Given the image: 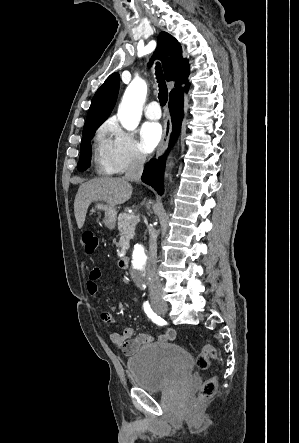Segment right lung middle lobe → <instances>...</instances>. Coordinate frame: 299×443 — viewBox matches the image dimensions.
<instances>
[{
  "instance_id": "obj_1",
  "label": "right lung middle lobe",
  "mask_w": 299,
  "mask_h": 443,
  "mask_svg": "<svg viewBox=\"0 0 299 443\" xmlns=\"http://www.w3.org/2000/svg\"><path fill=\"white\" fill-rule=\"evenodd\" d=\"M98 126L99 125L90 127L88 129L84 130V132H83V138H82L81 148H80V159H79V163L77 166L79 171H84L90 166L91 144L89 141L92 139V137L96 131V128Z\"/></svg>"
}]
</instances>
